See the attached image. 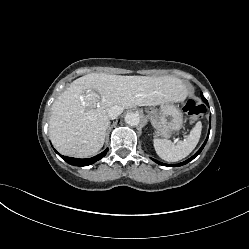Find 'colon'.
<instances>
[{"label": "colon", "instance_id": "colon-1", "mask_svg": "<svg viewBox=\"0 0 249 249\" xmlns=\"http://www.w3.org/2000/svg\"><path fill=\"white\" fill-rule=\"evenodd\" d=\"M183 111L189 116L192 123L201 118L205 112V107L196 99L190 98L183 106Z\"/></svg>", "mask_w": 249, "mask_h": 249}]
</instances>
